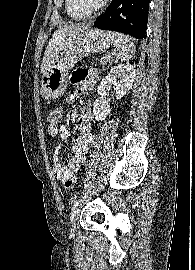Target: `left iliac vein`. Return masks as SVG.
I'll return each instance as SVG.
<instances>
[{
    "mask_svg": "<svg viewBox=\"0 0 195 270\" xmlns=\"http://www.w3.org/2000/svg\"><path fill=\"white\" fill-rule=\"evenodd\" d=\"M79 212H80V208L77 207V208L75 209V212L72 214V217H71V227H72V231H75V230H76Z\"/></svg>",
    "mask_w": 195,
    "mask_h": 270,
    "instance_id": "1",
    "label": "left iliac vein"
}]
</instances>
